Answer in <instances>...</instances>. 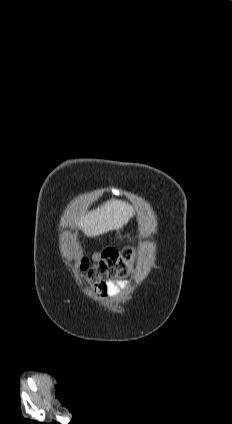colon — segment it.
<instances>
[{"label":"colon","instance_id":"1","mask_svg":"<svg viewBox=\"0 0 232 424\" xmlns=\"http://www.w3.org/2000/svg\"><path fill=\"white\" fill-rule=\"evenodd\" d=\"M136 253L130 248L108 249L93 256V262L83 259L80 269L89 282H102L129 276L134 270Z\"/></svg>","mask_w":232,"mask_h":424}]
</instances>
